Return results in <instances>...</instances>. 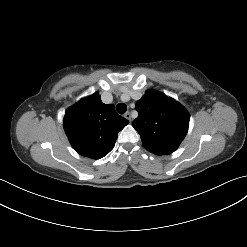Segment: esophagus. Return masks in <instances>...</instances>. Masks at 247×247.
<instances>
[{
  "mask_svg": "<svg viewBox=\"0 0 247 247\" xmlns=\"http://www.w3.org/2000/svg\"><path fill=\"white\" fill-rule=\"evenodd\" d=\"M124 117H125L126 119H128L129 121H131V114H130L129 112H126V113L124 114Z\"/></svg>",
  "mask_w": 247,
  "mask_h": 247,
  "instance_id": "obj_1",
  "label": "esophagus"
}]
</instances>
